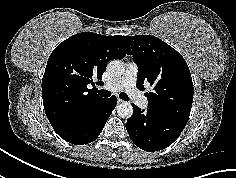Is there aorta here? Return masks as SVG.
<instances>
[{"label": "aorta", "instance_id": "1", "mask_svg": "<svg viewBox=\"0 0 236 178\" xmlns=\"http://www.w3.org/2000/svg\"><path fill=\"white\" fill-rule=\"evenodd\" d=\"M108 72L115 77L121 76L124 72L123 63L120 60H113L107 65ZM119 117L128 119L133 114V107L129 102H123L117 106Z\"/></svg>", "mask_w": 236, "mask_h": 178}]
</instances>
